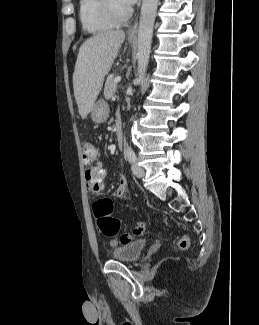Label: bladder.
<instances>
[{"instance_id": "1", "label": "bladder", "mask_w": 259, "mask_h": 325, "mask_svg": "<svg viewBox=\"0 0 259 325\" xmlns=\"http://www.w3.org/2000/svg\"><path fill=\"white\" fill-rule=\"evenodd\" d=\"M146 246L147 241L145 239L135 240L115 248L111 256L118 261L132 263L141 257Z\"/></svg>"}]
</instances>
